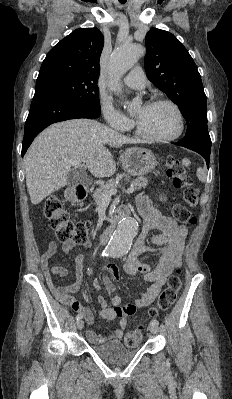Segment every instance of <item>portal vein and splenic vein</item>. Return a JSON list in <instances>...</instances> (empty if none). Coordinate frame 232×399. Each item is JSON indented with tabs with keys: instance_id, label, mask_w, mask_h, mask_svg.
Segmentation results:
<instances>
[{
	"instance_id": "1",
	"label": "portal vein and splenic vein",
	"mask_w": 232,
	"mask_h": 399,
	"mask_svg": "<svg viewBox=\"0 0 232 399\" xmlns=\"http://www.w3.org/2000/svg\"><path fill=\"white\" fill-rule=\"evenodd\" d=\"M68 164L69 166H82L81 164V160H68ZM127 194H133V192H135L133 186H131V188H128V190H126ZM107 196H105V198H111V196H115V194H117V190H109V192H106Z\"/></svg>"
}]
</instances>
